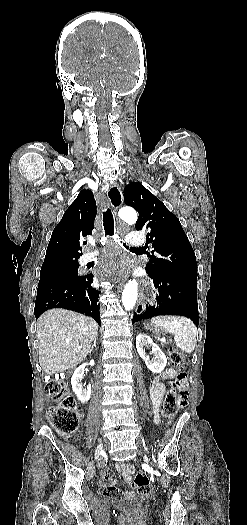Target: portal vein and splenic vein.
Masks as SVG:
<instances>
[{
	"instance_id": "1",
	"label": "portal vein and splenic vein",
	"mask_w": 247,
	"mask_h": 525,
	"mask_svg": "<svg viewBox=\"0 0 247 525\" xmlns=\"http://www.w3.org/2000/svg\"><path fill=\"white\" fill-rule=\"evenodd\" d=\"M164 341H166V338H161V343H164ZM82 348V345H79L78 349H81Z\"/></svg>"
}]
</instances>
